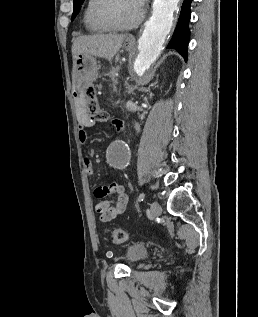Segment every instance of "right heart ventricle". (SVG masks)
<instances>
[{
    "instance_id": "1",
    "label": "right heart ventricle",
    "mask_w": 258,
    "mask_h": 317,
    "mask_svg": "<svg viewBox=\"0 0 258 317\" xmlns=\"http://www.w3.org/2000/svg\"><path fill=\"white\" fill-rule=\"evenodd\" d=\"M100 0H87L84 7L83 21L90 33L103 34L110 31L107 27L98 23L94 17V10Z\"/></svg>"
}]
</instances>
